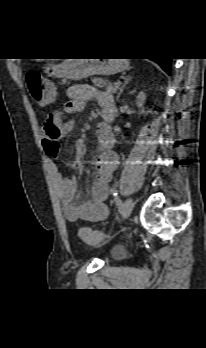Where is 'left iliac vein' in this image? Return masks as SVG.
I'll use <instances>...</instances> for the list:
<instances>
[{"label": "left iliac vein", "mask_w": 206, "mask_h": 348, "mask_svg": "<svg viewBox=\"0 0 206 348\" xmlns=\"http://www.w3.org/2000/svg\"><path fill=\"white\" fill-rule=\"evenodd\" d=\"M132 210H133V201L131 198H127L124 201L123 207H122L123 219H127L131 215Z\"/></svg>", "instance_id": "4c4485c4"}]
</instances>
